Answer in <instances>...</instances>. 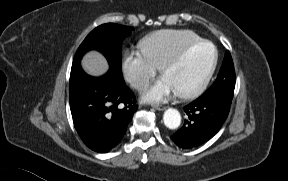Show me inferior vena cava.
Masks as SVG:
<instances>
[{"mask_svg": "<svg viewBox=\"0 0 288 181\" xmlns=\"http://www.w3.org/2000/svg\"><path fill=\"white\" fill-rule=\"evenodd\" d=\"M134 87L140 88L147 85V81L144 79H138L133 83Z\"/></svg>", "mask_w": 288, "mask_h": 181, "instance_id": "602c4592", "label": "inferior vena cava"}]
</instances>
